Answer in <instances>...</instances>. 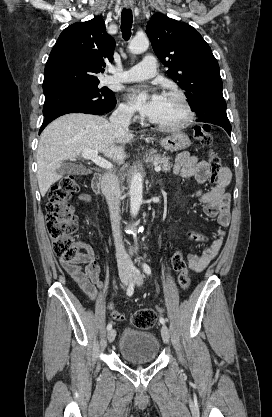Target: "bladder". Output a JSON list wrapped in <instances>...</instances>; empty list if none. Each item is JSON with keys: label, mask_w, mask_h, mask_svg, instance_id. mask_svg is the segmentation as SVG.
I'll return each mask as SVG.
<instances>
[{"label": "bladder", "mask_w": 272, "mask_h": 417, "mask_svg": "<svg viewBox=\"0 0 272 417\" xmlns=\"http://www.w3.org/2000/svg\"><path fill=\"white\" fill-rule=\"evenodd\" d=\"M160 351V342L151 332L126 328L119 340V353L132 364L153 362Z\"/></svg>", "instance_id": "obj_1"}]
</instances>
